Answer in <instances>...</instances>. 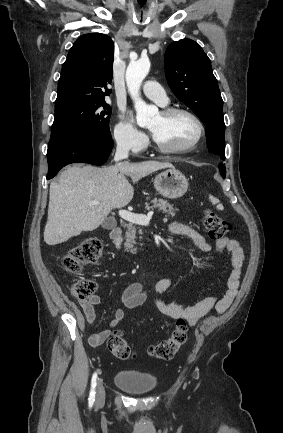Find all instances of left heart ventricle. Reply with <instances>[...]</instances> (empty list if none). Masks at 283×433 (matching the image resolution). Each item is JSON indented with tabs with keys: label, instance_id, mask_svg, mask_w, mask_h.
<instances>
[{
	"label": "left heart ventricle",
	"instance_id": "b2bd125f",
	"mask_svg": "<svg viewBox=\"0 0 283 433\" xmlns=\"http://www.w3.org/2000/svg\"><path fill=\"white\" fill-rule=\"evenodd\" d=\"M149 128L157 135L159 142L170 148H182L197 135L195 121L186 114H178L170 119H164L159 113Z\"/></svg>",
	"mask_w": 283,
	"mask_h": 433
}]
</instances>
